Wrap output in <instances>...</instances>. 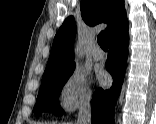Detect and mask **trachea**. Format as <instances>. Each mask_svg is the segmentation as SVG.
I'll return each instance as SVG.
<instances>
[{"instance_id":"trachea-1","label":"trachea","mask_w":156,"mask_h":124,"mask_svg":"<svg viewBox=\"0 0 156 124\" xmlns=\"http://www.w3.org/2000/svg\"><path fill=\"white\" fill-rule=\"evenodd\" d=\"M98 44L103 50L108 49V35L105 31L99 33L97 37Z\"/></svg>"}]
</instances>
